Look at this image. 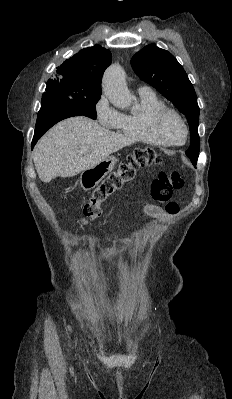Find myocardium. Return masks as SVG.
Wrapping results in <instances>:
<instances>
[{
  "instance_id": "f54148a6",
  "label": "myocardium",
  "mask_w": 232,
  "mask_h": 399,
  "mask_svg": "<svg viewBox=\"0 0 232 399\" xmlns=\"http://www.w3.org/2000/svg\"><path fill=\"white\" fill-rule=\"evenodd\" d=\"M168 114H173L174 116H176L180 122L183 124L185 131H186V138L182 143H176L173 140H171L166 133L164 132L163 128H162V121L163 118L168 115ZM151 126H152V130L153 132L163 141H165L166 143H168L169 145H173V146H182L184 144H186V142L189 139V126L185 120V118L182 116V114L177 111L176 109L170 108V107H164L160 110H158L152 117L151 119Z\"/></svg>"
}]
</instances>
